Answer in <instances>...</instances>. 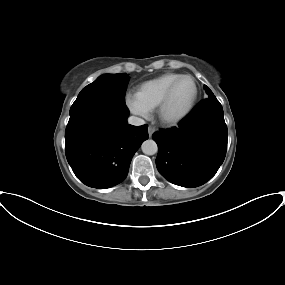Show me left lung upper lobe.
Instances as JSON below:
<instances>
[{
    "instance_id": "5c2ea615",
    "label": "left lung upper lobe",
    "mask_w": 285,
    "mask_h": 285,
    "mask_svg": "<svg viewBox=\"0 0 285 285\" xmlns=\"http://www.w3.org/2000/svg\"><path fill=\"white\" fill-rule=\"evenodd\" d=\"M205 88H206V91H207V93H208V97L214 96V94L212 93V91H211L207 86H205Z\"/></svg>"
}]
</instances>
